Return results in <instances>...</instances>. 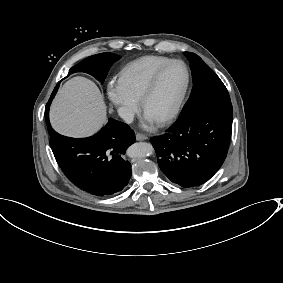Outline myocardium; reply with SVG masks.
Returning <instances> with one entry per match:
<instances>
[{
    "mask_svg": "<svg viewBox=\"0 0 283 283\" xmlns=\"http://www.w3.org/2000/svg\"><path fill=\"white\" fill-rule=\"evenodd\" d=\"M173 64H181L184 67L185 73H186L185 85H184L183 90H182L181 94L179 95L173 109L168 114H166L162 118L158 119L157 120L158 123L169 122L172 119H174L178 115V113L180 112L182 105H183V102L185 100V97L187 95V92L189 90L190 82H191V73H190V69H189L188 65L182 60H171V61L163 64L162 66H160L158 69H156L151 74V76L147 80L146 85L144 87V90H143V92H142V94L139 98V104H140L141 109L143 110V106H144L145 102L149 99V97L152 95L154 88H155L160 76L165 72V70L167 68H169Z\"/></svg>",
    "mask_w": 283,
    "mask_h": 283,
    "instance_id": "1",
    "label": "myocardium"
}]
</instances>
